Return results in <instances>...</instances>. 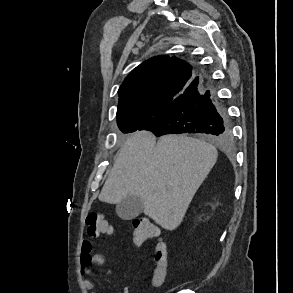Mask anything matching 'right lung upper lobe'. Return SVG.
<instances>
[{"label":"right lung upper lobe","mask_w":293,"mask_h":293,"mask_svg":"<svg viewBox=\"0 0 293 293\" xmlns=\"http://www.w3.org/2000/svg\"><path fill=\"white\" fill-rule=\"evenodd\" d=\"M194 75L192 66L176 57L157 56L143 62L118 90L117 115L140 108H149L154 116L158 115L187 88Z\"/></svg>","instance_id":"1"}]
</instances>
